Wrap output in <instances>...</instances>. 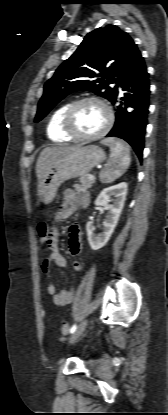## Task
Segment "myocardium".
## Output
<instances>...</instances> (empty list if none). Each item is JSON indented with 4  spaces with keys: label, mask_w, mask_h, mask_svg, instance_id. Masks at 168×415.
I'll list each match as a JSON object with an SVG mask.
<instances>
[{
    "label": "myocardium",
    "mask_w": 168,
    "mask_h": 415,
    "mask_svg": "<svg viewBox=\"0 0 168 415\" xmlns=\"http://www.w3.org/2000/svg\"><path fill=\"white\" fill-rule=\"evenodd\" d=\"M97 103L99 104L106 112V123L104 127L97 133L93 135H81L74 129L73 126V118L76 110L85 103ZM113 124V112L109 105L104 102L102 99L97 97H84L79 100L74 101L69 105L66 109L63 120H62V127L63 131L72 139L77 141H93L102 138L105 136L109 130L111 129Z\"/></svg>",
    "instance_id": "1"
}]
</instances>
